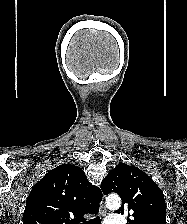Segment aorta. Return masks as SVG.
I'll return each mask as SVG.
<instances>
[{
  "label": "aorta",
  "mask_w": 187,
  "mask_h": 224,
  "mask_svg": "<svg viewBox=\"0 0 187 224\" xmlns=\"http://www.w3.org/2000/svg\"><path fill=\"white\" fill-rule=\"evenodd\" d=\"M106 206L116 210L121 206V199L117 195H111L106 198Z\"/></svg>",
  "instance_id": "1"
}]
</instances>
